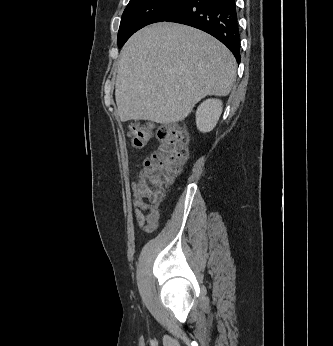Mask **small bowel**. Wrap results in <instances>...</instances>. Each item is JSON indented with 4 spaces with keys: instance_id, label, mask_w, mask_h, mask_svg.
<instances>
[{
    "instance_id": "obj_1",
    "label": "small bowel",
    "mask_w": 333,
    "mask_h": 346,
    "mask_svg": "<svg viewBox=\"0 0 333 346\" xmlns=\"http://www.w3.org/2000/svg\"><path fill=\"white\" fill-rule=\"evenodd\" d=\"M134 215L143 232L154 231L160 222L161 213L157 206L151 205L143 200L138 192V184L132 183Z\"/></svg>"
}]
</instances>
